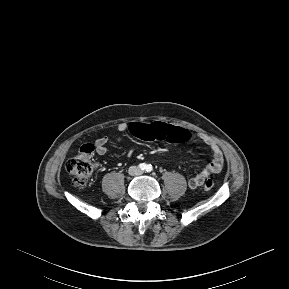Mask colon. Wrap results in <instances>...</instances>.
Returning <instances> with one entry per match:
<instances>
[{
  "label": "colon",
  "mask_w": 289,
  "mask_h": 289,
  "mask_svg": "<svg viewBox=\"0 0 289 289\" xmlns=\"http://www.w3.org/2000/svg\"><path fill=\"white\" fill-rule=\"evenodd\" d=\"M132 136L148 140H166L171 143L185 142L189 138V131L169 125L167 122L158 120L154 122L132 123L129 128ZM95 144H84L80 147L78 152L71 157L66 164V169L72 177L73 183L82 187L85 186L92 173L93 169V155ZM214 187V182L208 179L204 183L205 190H211Z\"/></svg>",
  "instance_id": "5ec220e1"
}]
</instances>
